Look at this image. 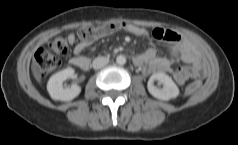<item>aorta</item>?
Segmentation results:
<instances>
[{"label": "aorta", "instance_id": "obj_1", "mask_svg": "<svg viewBox=\"0 0 238 145\" xmlns=\"http://www.w3.org/2000/svg\"><path fill=\"white\" fill-rule=\"evenodd\" d=\"M116 63H117L118 65H124V64L126 63V58H125V56H123V55L117 56V58H116Z\"/></svg>", "mask_w": 238, "mask_h": 145}]
</instances>
